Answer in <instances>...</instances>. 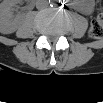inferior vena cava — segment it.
Listing matches in <instances>:
<instances>
[{
  "instance_id": "602c4592",
  "label": "inferior vena cava",
  "mask_w": 103,
  "mask_h": 103,
  "mask_svg": "<svg viewBox=\"0 0 103 103\" xmlns=\"http://www.w3.org/2000/svg\"><path fill=\"white\" fill-rule=\"evenodd\" d=\"M49 3L46 0H39L36 3L37 9H46L48 7Z\"/></svg>"
}]
</instances>
